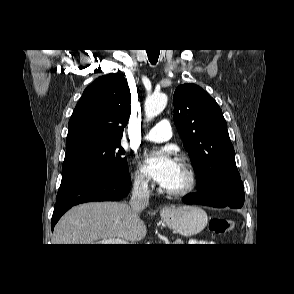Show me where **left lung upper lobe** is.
<instances>
[{
    "mask_svg": "<svg viewBox=\"0 0 294 294\" xmlns=\"http://www.w3.org/2000/svg\"><path fill=\"white\" fill-rule=\"evenodd\" d=\"M174 122L195 168L198 194L241 180L222 110L206 91L190 83L178 86Z\"/></svg>",
    "mask_w": 294,
    "mask_h": 294,
    "instance_id": "left-lung-upper-lobe-1",
    "label": "left lung upper lobe"
}]
</instances>
